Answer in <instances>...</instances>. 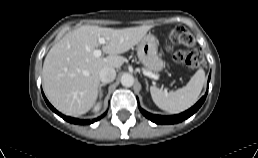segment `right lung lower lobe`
<instances>
[{
  "instance_id": "right-lung-lower-lobe-1",
  "label": "right lung lower lobe",
  "mask_w": 258,
  "mask_h": 158,
  "mask_svg": "<svg viewBox=\"0 0 258 158\" xmlns=\"http://www.w3.org/2000/svg\"><path fill=\"white\" fill-rule=\"evenodd\" d=\"M42 95L45 99V102L47 103V105L56 113L58 114L60 117H62L64 120L70 122V123H74V124H91V123H94L95 121H98L99 119H101L103 117L100 116L98 118H95L91 121L89 120H80V119H76V118H72V117H69V116H65V115H62L61 113H59L56 109L53 108V106L48 102V100L46 99L45 95L43 94L42 92Z\"/></svg>"
}]
</instances>
